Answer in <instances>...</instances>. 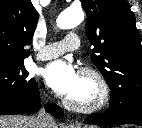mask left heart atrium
Returning <instances> with one entry per match:
<instances>
[{
    "label": "left heart atrium",
    "instance_id": "obj_1",
    "mask_svg": "<svg viewBox=\"0 0 142 128\" xmlns=\"http://www.w3.org/2000/svg\"><path fill=\"white\" fill-rule=\"evenodd\" d=\"M45 83L57 94L72 96L81 82V75L76 68L63 60L50 63L43 72Z\"/></svg>",
    "mask_w": 142,
    "mask_h": 128
}]
</instances>
